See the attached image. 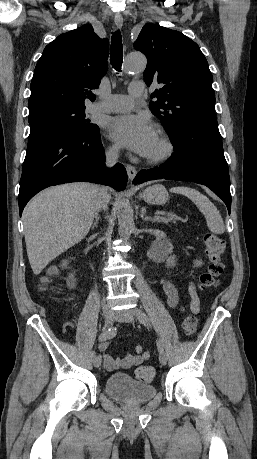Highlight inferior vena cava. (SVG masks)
Wrapping results in <instances>:
<instances>
[{"instance_id": "obj_1", "label": "inferior vena cava", "mask_w": 257, "mask_h": 459, "mask_svg": "<svg viewBox=\"0 0 257 459\" xmlns=\"http://www.w3.org/2000/svg\"><path fill=\"white\" fill-rule=\"evenodd\" d=\"M118 160V150L116 148H112L106 152V165L108 167L113 166ZM108 203V197L105 192L104 188H99L97 200H96V209L99 210H106Z\"/></svg>"}]
</instances>
